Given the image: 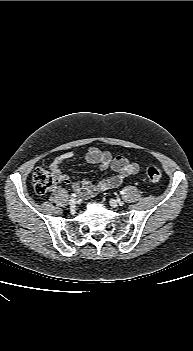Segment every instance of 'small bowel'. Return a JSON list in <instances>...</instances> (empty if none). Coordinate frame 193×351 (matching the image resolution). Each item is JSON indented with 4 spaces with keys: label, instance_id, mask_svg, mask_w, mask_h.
Returning <instances> with one entry per match:
<instances>
[{
    "label": "small bowel",
    "instance_id": "obj_1",
    "mask_svg": "<svg viewBox=\"0 0 193 351\" xmlns=\"http://www.w3.org/2000/svg\"><path fill=\"white\" fill-rule=\"evenodd\" d=\"M74 157L72 151L64 152L56 156L51 164L50 170L59 183L71 186V188L82 197H94L98 193L110 190L121 185L128 177L138 172L139 167L136 163L131 162L124 156H113L108 151H101L97 148H90L84 155V160L90 164L98 165L100 169H111L114 175L106 177L94 184L89 180L80 182L74 181L68 175L63 173L62 165L67 160Z\"/></svg>",
    "mask_w": 193,
    "mask_h": 351
}]
</instances>
